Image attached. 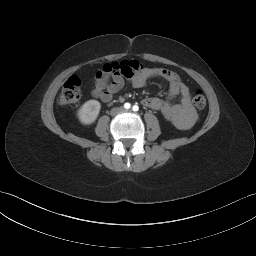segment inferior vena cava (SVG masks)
<instances>
[{"label":"inferior vena cava","mask_w":256,"mask_h":256,"mask_svg":"<svg viewBox=\"0 0 256 256\" xmlns=\"http://www.w3.org/2000/svg\"><path fill=\"white\" fill-rule=\"evenodd\" d=\"M122 111H123L122 108H113L110 113L111 115H116L118 113H121Z\"/></svg>","instance_id":"obj_1"}]
</instances>
